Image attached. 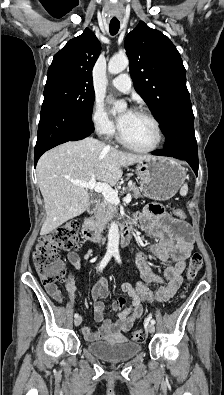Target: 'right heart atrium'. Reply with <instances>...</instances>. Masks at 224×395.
<instances>
[{
  "instance_id": "1",
  "label": "right heart atrium",
  "mask_w": 224,
  "mask_h": 395,
  "mask_svg": "<svg viewBox=\"0 0 224 395\" xmlns=\"http://www.w3.org/2000/svg\"><path fill=\"white\" fill-rule=\"evenodd\" d=\"M91 122L93 127L102 136L110 137L115 133L113 121L108 116L101 101L96 100L91 111Z\"/></svg>"
}]
</instances>
